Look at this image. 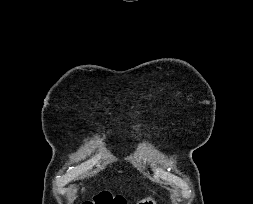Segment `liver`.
<instances>
[{
    "instance_id": "6515ba94",
    "label": "liver",
    "mask_w": 253,
    "mask_h": 204,
    "mask_svg": "<svg viewBox=\"0 0 253 204\" xmlns=\"http://www.w3.org/2000/svg\"><path fill=\"white\" fill-rule=\"evenodd\" d=\"M75 194L72 195V198L70 199L71 201L75 199Z\"/></svg>"
}]
</instances>
